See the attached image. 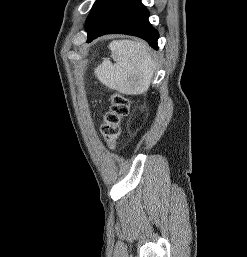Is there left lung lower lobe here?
<instances>
[{
    "label": "left lung lower lobe",
    "mask_w": 247,
    "mask_h": 257,
    "mask_svg": "<svg viewBox=\"0 0 247 257\" xmlns=\"http://www.w3.org/2000/svg\"><path fill=\"white\" fill-rule=\"evenodd\" d=\"M140 0H97L86 21L87 43L98 36L125 33L146 40L158 49V31L148 21Z\"/></svg>",
    "instance_id": "0a47b994"
}]
</instances>
